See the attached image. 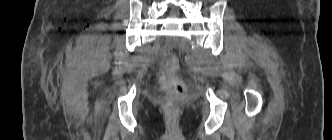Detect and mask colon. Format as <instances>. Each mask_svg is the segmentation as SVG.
Segmentation results:
<instances>
[{"label":"colon","mask_w":332,"mask_h":140,"mask_svg":"<svg viewBox=\"0 0 332 140\" xmlns=\"http://www.w3.org/2000/svg\"><path fill=\"white\" fill-rule=\"evenodd\" d=\"M178 68L179 61L177 57L170 56L167 58L160 75V85L164 90L161 104L170 121L175 119L179 105L185 95V85L176 76Z\"/></svg>","instance_id":"obj_1"}]
</instances>
